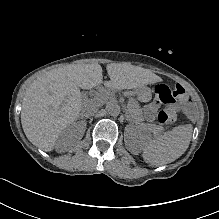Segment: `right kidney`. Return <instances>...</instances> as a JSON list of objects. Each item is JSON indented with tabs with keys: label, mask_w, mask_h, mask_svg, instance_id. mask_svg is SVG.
I'll use <instances>...</instances> for the list:
<instances>
[{
	"label": "right kidney",
	"mask_w": 219,
	"mask_h": 219,
	"mask_svg": "<svg viewBox=\"0 0 219 219\" xmlns=\"http://www.w3.org/2000/svg\"><path fill=\"white\" fill-rule=\"evenodd\" d=\"M84 131L85 129H82L80 131L78 130L74 131L73 127H69L66 130H64V132H61L56 140V144H55L56 152L63 153L68 151L69 143L66 142V139L69 138L68 141L70 143L73 142V138H75L76 140H80L82 139Z\"/></svg>",
	"instance_id": "ca27d5eb"
}]
</instances>
